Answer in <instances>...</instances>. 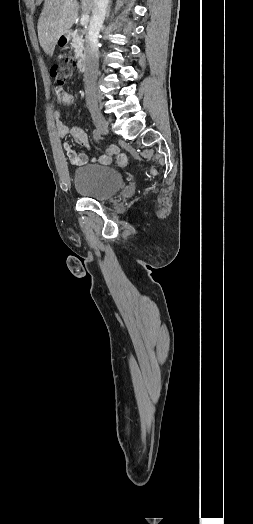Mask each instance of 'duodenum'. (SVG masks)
I'll list each match as a JSON object with an SVG mask.
<instances>
[{
    "instance_id": "1",
    "label": "duodenum",
    "mask_w": 253,
    "mask_h": 524,
    "mask_svg": "<svg viewBox=\"0 0 253 524\" xmlns=\"http://www.w3.org/2000/svg\"><path fill=\"white\" fill-rule=\"evenodd\" d=\"M77 68L80 73L86 72V61L84 57H79L77 60Z\"/></svg>"
}]
</instances>
